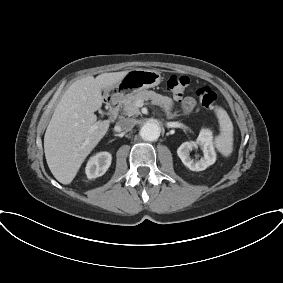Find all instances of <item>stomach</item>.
<instances>
[{
  "label": "stomach",
  "instance_id": "stomach-1",
  "mask_svg": "<svg viewBox=\"0 0 283 283\" xmlns=\"http://www.w3.org/2000/svg\"><path fill=\"white\" fill-rule=\"evenodd\" d=\"M161 82L160 72L153 69H133L125 77L109 88L114 95L123 97L126 93H137L154 88Z\"/></svg>",
  "mask_w": 283,
  "mask_h": 283
}]
</instances>
